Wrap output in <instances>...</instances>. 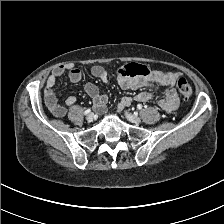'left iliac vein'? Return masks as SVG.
<instances>
[{
  "mask_svg": "<svg viewBox=\"0 0 224 224\" xmlns=\"http://www.w3.org/2000/svg\"><path fill=\"white\" fill-rule=\"evenodd\" d=\"M125 115L127 117V119L132 122V123H135V124H139L141 122V119L140 117L134 115V114H131V113H128L127 111L125 112Z\"/></svg>",
  "mask_w": 224,
  "mask_h": 224,
  "instance_id": "1",
  "label": "left iliac vein"
}]
</instances>
